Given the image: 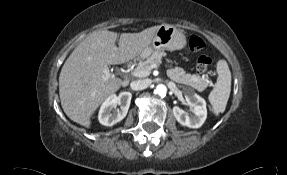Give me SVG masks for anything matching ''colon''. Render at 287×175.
I'll return each mask as SVG.
<instances>
[{
    "instance_id": "5ec220e1",
    "label": "colon",
    "mask_w": 287,
    "mask_h": 175,
    "mask_svg": "<svg viewBox=\"0 0 287 175\" xmlns=\"http://www.w3.org/2000/svg\"><path fill=\"white\" fill-rule=\"evenodd\" d=\"M189 48L194 52H203L206 49V42L201 37L192 35L189 39ZM210 65L211 58L206 54L201 55L197 60V72L199 74H206Z\"/></svg>"
}]
</instances>
